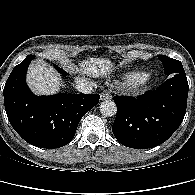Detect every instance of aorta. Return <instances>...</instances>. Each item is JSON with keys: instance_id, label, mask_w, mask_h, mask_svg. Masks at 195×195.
I'll list each match as a JSON object with an SVG mask.
<instances>
[{"instance_id": "aorta-1", "label": "aorta", "mask_w": 195, "mask_h": 195, "mask_svg": "<svg viewBox=\"0 0 195 195\" xmlns=\"http://www.w3.org/2000/svg\"><path fill=\"white\" fill-rule=\"evenodd\" d=\"M100 112L105 117H112L117 112L116 104L110 100L103 101L100 105Z\"/></svg>"}]
</instances>
